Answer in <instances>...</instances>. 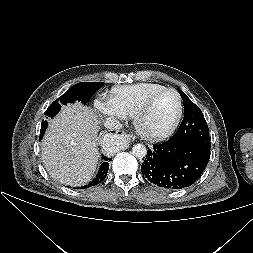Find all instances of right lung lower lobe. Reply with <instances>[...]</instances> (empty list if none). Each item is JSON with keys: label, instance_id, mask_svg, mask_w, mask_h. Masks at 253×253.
Returning <instances> with one entry per match:
<instances>
[{"label": "right lung lower lobe", "instance_id": "98d812e1", "mask_svg": "<svg viewBox=\"0 0 253 253\" xmlns=\"http://www.w3.org/2000/svg\"><path fill=\"white\" fill-rule=\"evenodd\" d=\"M42 137H40L41 139ZM104 162H102L100 169L98 171V174L96 175V177L94 178V180H92L87 186H83L82 188H87V187H91L94 185H97L101 182H103V180L106 178L107 176V172L109 170V161L112 160V158H108V157H103ZM81 188V187H80Z\"/></svg>", "mask_w": 253, "mask_h": 253}]
</instances>
